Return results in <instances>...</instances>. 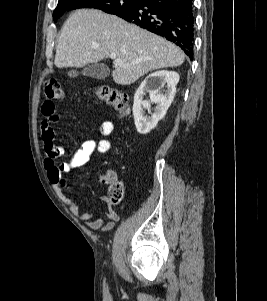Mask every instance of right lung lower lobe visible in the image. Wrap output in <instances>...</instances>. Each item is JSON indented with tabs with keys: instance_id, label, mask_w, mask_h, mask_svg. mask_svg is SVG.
<instances>
[{
	"instance_id": "right-lung-lower-lobe-1",
	"label": "right lung lower lobe",
	"mask_w": 267,
	"mask_h": 301,
	"mask_svg": "<svg viewBox=\"0 0 267 301\" xmlns=\"http://www.w3.org/2000/svg\"><path fill=\"white\" fill-rule=\"evenodd\" d=\"M193 14L192 0H138L117 16L175 43L192 60Z\"/></svg>"
}]
</instances>
